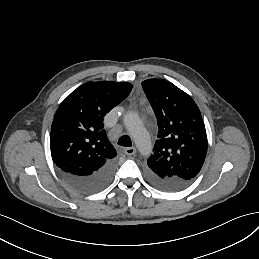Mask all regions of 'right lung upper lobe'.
Returning a JSON list of instances; mask_svg holds the SVG:
<instances>
[{
  "label": "right lung upper lobe",
  "mask_w": 259,
  "mask_h": 259,
  "mask_svg": "<svg viewBox=\"0 0 259 259\" xmlns=\"http://www.w3.org/2000/svg\"><path fill=\"white\" fill-rule=\"evenodd\" d=\"M128 82H88L59 106L50 134L54 163L78 175H90L117 153L103 129V117L131 92Z\"/></svg>",
  "instance_id": "1"
}]
</instances>
